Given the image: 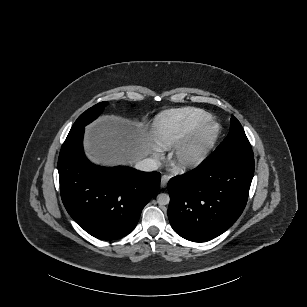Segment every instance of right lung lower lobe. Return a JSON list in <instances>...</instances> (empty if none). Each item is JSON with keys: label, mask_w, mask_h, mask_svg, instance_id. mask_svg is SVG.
I'll return each mask as SVG.
<instances>
[{"label": "right lung lower lobe", "mask_w": 307, "mask_h": 307, "mask_svg": "<svg viewBox=\"0 0 307 307\" xmlns=\"http://www.w3.org/2000/svg\"><path fill=\"white\" fill-rule=\"evenodd\" d=\"M84 127L69 133L62 145L58 171L61 197L70 216L102 240L129 234L144 206L160 187L158 172L92 164L83 151Z\"/></svg>", "instance_id": "98d812e1"}]
</instances>
